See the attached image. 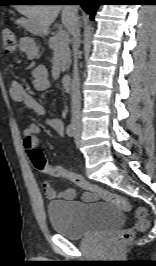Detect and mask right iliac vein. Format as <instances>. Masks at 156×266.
Listing matches in <instances>:
<instances>
[{"mask_svg": "<svg viewBox=\"0 0 156 266\" xmlns=\"http://www.w3.org/2000/svg\"><path fill=\"white\" fill-rule=\"evenodd\" d=\"M74 125H75V127H76L77 129L80 128V124H79V123L75 122Z\"/></svg>", "mask_w": 156, "mask_h": 266, "instance_id": "63e3f726", "label": "right iliac vein"}]
</instances>
